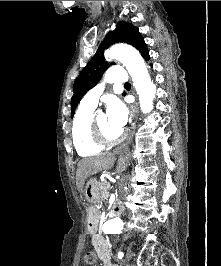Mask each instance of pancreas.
Instances as JSON below:
<instances>
[{"label": "pancreas", "mask_w": 221, "mask_h": 266, "mask_svg": "<svg viewBox=\"0 0 221 266\" xmlns=\"http://www.w3.org/2000/svg\"><path fill=\"white\" fill-rule=\"evenodd\" d=\"M99 186L102 198L107 197L109 195L110 183H107L106 181L99 182Z\"/></svg>", "instance_id": "cf45deb5"}]
</instances>
